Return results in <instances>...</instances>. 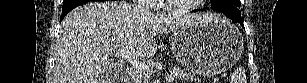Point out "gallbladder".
I'll return each instance as SVG.
<instances>
[{
	"label": "gallbladder",
	"mask_w": 307,
	"mask_h": 83,
	"mask_svg": "<svg viewBox=\"0 0 307 83\" xmlns=\"http://www.w3.org/2000/svg\"><path fill=\"white\" fill-rule=\"evenodd\" d=\"M106 75H107L108 78H109V77H112L111 71L108 70V71L106 72ZM106 80H107V78H106ZM107 82H113V81H107Z\"/></svg>",
	"instance_id": "gallbladder-1"
}]
</instances>
